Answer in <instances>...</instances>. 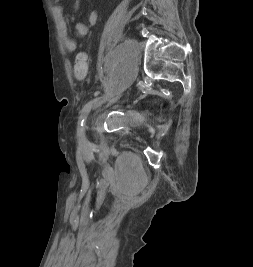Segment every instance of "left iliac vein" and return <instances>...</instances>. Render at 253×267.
<instances>
[{
	"label": "left iliac vein",
	"mask_w": 253,
	"mask_h": 267,
	"mask_svg": "<svg viewBox=\"0 0 253 267\" xmlns=\"http://www.w3.org/2000/svg\"><path fill=\"white\" fill-rule=\"evenodd\" d=\"M106 98L110 101V102H115L119 97H115V98H111V94H108L107 93V96ZM87 129V125H86V122L84 123V126L82 128V131H83V139L85 140V142H87V138H86V135H85V131Z\"/></svg>",
	"instance_id": "obj_1"
}]
</instances>
